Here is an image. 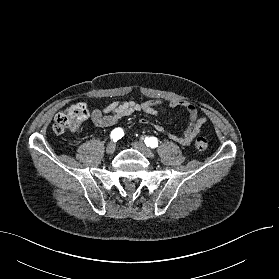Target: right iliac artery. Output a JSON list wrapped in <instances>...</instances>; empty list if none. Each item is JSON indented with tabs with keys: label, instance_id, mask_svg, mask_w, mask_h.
<instances>
[{
	"label": "right iliac artery",
	"instance_id": "82829eb1",
	"mask_svg": "<svg viewBox=\"0 0 279 279\" xmlns=\"http://www.w3.org/2000/svg\"><path fill=\"white\" fill-rule=\"evenodd\" d=\"M124 136V132L121 128H116L111 132V139L116 142Z\"/></svg>",
	"mask_w": 279,
	"mask_h": 279
}]
</instances>
